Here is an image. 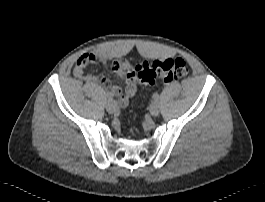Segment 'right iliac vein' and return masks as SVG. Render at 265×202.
I'll return each mask as SVG.
<instances>
[{
	"label": "right iliac vein",
	"mask_w": 265,
	"mask_h": 202,
	"mask_svg": "<svg viewBox=\"0 0 265 202\" xmlns=\"http://www.w3.org/2000/svg\"><path fill=\"white\" fill-rule=\"evenodd\" d=\"M106 109L109 113H115L118 109L117 102L114 100H110L106 106Z\"/></svg>",
	"instance_id": "1"
}]
</instances>
